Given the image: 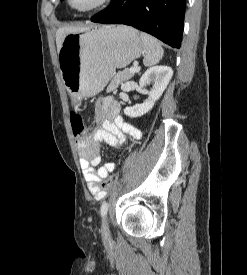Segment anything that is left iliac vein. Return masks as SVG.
Here are the masks:
<instances>
[{
    "mask_svg": "<svg viewBox=\"0 0 247 275\" xmlns=\"http://www.w3.org/2000/svg\"><path fill=\"white\" fill-rule=\"evenodd\" d=\"M102 236L104 239H108L110 237L108 219L106 217L102 221Z\"/></svg>",
    "mask_w": 247,
    "mask_h": 275,
    "instance_id": "obj_1",
    "label": "left iliac vein"
}]
</instances>
